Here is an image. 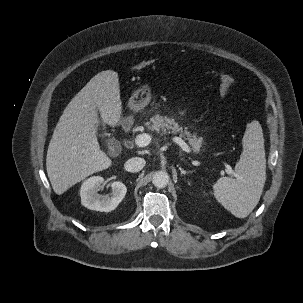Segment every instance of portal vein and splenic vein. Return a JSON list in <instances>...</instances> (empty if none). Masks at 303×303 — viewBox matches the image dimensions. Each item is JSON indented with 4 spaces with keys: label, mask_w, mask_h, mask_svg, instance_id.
<instances>
[{
    "label": "portal vein and splenic vein",
    "mask_w": 303,
    "mask_h": 303,
    "mask_svg": "<svg viewBox=\"0 0 303 303\" xmlns=\"http://www.w3.org/2000/svg\"><path fill=\"white\" fill-rule=\"evenodd\" d=\"M152 138L149 134L147 133H143V134H139L135 137V144L138 146V147H145V146H148L151 142ZM173 142H175L176 144H178L185 152L187 153H190L191 152V149L190 147L187 145V143L181 139L180 137H173ZM225 167H226V171L229 173V174H232L234 175L235 177L238 178V175L234 173V171L232 170L231 166L228 165V164H225Z\"/></svg>",
    "instance_id": "portal-vein-and-splenic-vein-1"
}]
</instances>
